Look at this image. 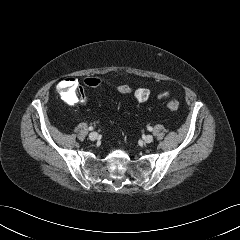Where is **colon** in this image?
<instances>
[{"label": "colon", "mask_w": 240, "mask_h": 240, "mask_svg": "<svg viewBox=\"0 0 240 240\" xmlns=\"http://www.w3.org/2000/svg\"><path fill=\"white\" fill-rule=\"evenodd\" d=\"M105 82L104 79L99 77H88L84 80V84L87 87L95 88L100 86ZM61 90L65 94L76 91V83L73 79H66L61 83ZM116 89L123 94H128L131 92V88L126 84H119L116 86ZM80 96L84 97L82 90H80ZM152 93L147 88H139L135 91V98L139 102H145L152 97ZM154 97L161 99L167 97L166 92H159ZM180 106V102L176 98H169L166 102V107L170 111H176Z\"/></svg>", "instance_id": "obj_1"}]
</instances>
